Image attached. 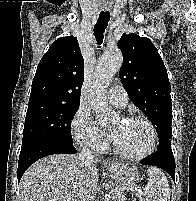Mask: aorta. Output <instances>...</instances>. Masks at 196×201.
<instances>
[{"label":"aorta","mask_w":196,"mask_h":201,"mask_svg":"<svg viewBox=\"0 0 196 201\" xmlns=\"http://www.w3.org/2000/svg\"><path fill=\"white\" fill-rule=\"evenodd\" d=\"M122 65V54L119 50L105 52L98 60L94 72L93 91L89 101L97 118L102 123H108L116 118V113L108 106L105 93L113 76ZM105 201L110 197L105 195Z\"/></svg>","instance_id":"1"}]
</instances>
